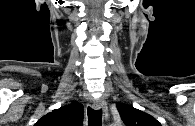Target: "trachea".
Returning a JSON list of instances; mask_svg holds the SVG:
<instances>
[{
	"label": "trachea",
	"mask_w": 195,
	"mask_h": 126,
	"mask_svg": "<svg viewBox=\"0 0 195 126\" xmlns=\"http://www.w3.org/2000/svg\"><path fill=\"white\" fill-rule=\"evenodd\" d=\"M88 126H101L102 125V110H94L88 108Z\"/></svg>",
	"instance_id": "1"
}]
</instances>
